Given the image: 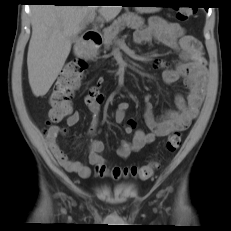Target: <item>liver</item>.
Here are the masks:
<instances>
[{
	"mask_svg": "<svg viewBox=\"0 0 231 231\" xmlns=\"http://www.w3.org/2000/svg\"><path fill=\"white\" fill-rule=\"evenodd\" d=\"M96 6L35 5L31 8L32 36L28 48L29 84L36 97L44 96L62 70L72 38L85 28ZM100 15L111 21L121 6H99Z\"/></svg>",
	"mask_w": 231,
	"mask_h": 231,
	"instance_id": "liver-1",
	"label": "liver"
}]
</instances>
